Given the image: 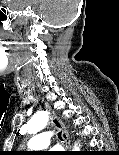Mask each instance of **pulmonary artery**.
Listing matches in <instances>:
<instances>
[{
  "mask_svg": "<svg viewBox=\"0 0 119 155\" xmlns=\"http://www.w3.org/2000/svg\"><path fill=\"white\" fill-rule=\"evenodd\" d=\"M52 133L51 132H40L34 135L28 141V147L32 150H41L50 146Z\"/></svg>",
  "mask_w": 119,
  "mask_h": 155,
  "instance_id": "e3ab8cb5",
  "label": "pulmonary artery"
}]
</instances>
